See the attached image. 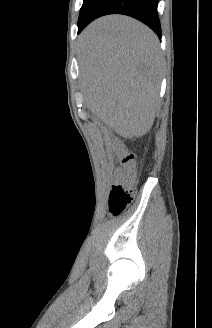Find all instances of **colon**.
Masks as SVG:
<instances>
[{
	"instance_id": "1",
	"label": "colon",
	"mask_w": 212,
	"mask_h": 328,
	"mask_svg": "<svg viewBox=\"0 0 212 328\" xmlns=\"http://www.w3.org/2000/svg\"><path fill=\"white\" fill-rule=\"evenodd\" d=\"M123 165V172L119 183L113 185L109 192L108 213L112 217L121 215L132 202L135 191L134 182L137 175L135 157L125 151L119 144L114 146Z\"/></svg>"
}]
</instances>
